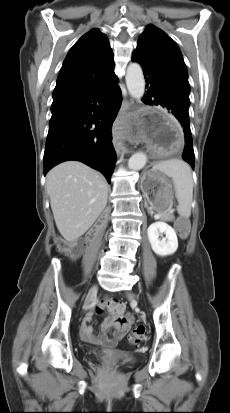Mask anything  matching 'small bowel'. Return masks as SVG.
<instances>
[{
	"label": "small bowel",
	"instance_id": "small-bowel-1",
	"mask_svg": "<svg viewBox=\"0 0 230 413\" xmlns=\"http://www.w3.org/2000/svg\"><path fill=\"white\" fill-rule=\"evenodd\" d=\"M93 314V312H90L85 316L81 324V335L85 341L95 345L113 346L115 343L114 340L105 339L107 330L109 328H115V338L120 339L129 331L133 323V317L130 314H125V312L119 315L113 314L111 318L104 320L101 326V336L96 337L94 336L92 327L90 325Z\"/></svg>",
	"mask_w": 230,
	"mask_h": 413
}]
</instances>
